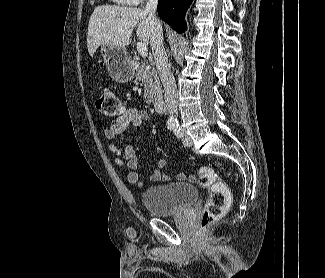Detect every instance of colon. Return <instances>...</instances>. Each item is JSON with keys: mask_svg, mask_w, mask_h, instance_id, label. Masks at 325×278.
<instances>
[{"mask_svg": "<svg viewBox=\"0 0 325 278\" xmlns=\"http://www.w3.org/2000/svg\"><path fill=\"white\" fill-rule=\"evenodd\" d=\"M95 108L108 119H117L125 113L124 103L109 88L98 91ZM197 176L199 184L209 190L207 203L198 222V231L202 233L224 216L231 203V192L211 167H200Z\"/></svg>", "mask_w": 325, "mask_h": 278, "instance_id": "colon-1", "label": "colon"}]
</instances>
